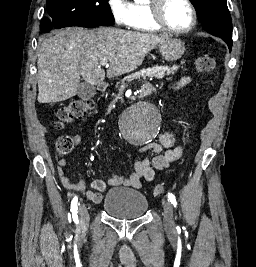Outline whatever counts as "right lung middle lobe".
<instances>
[{"instance_id":"obj_1","label":"right lung middle lobe","mask_w":256,"mask_h":267,"mask_svg":"<svg viewBox=\"0 0 256 267\" xmlns=\"http://www.w3.org/2000/svg\"><path fill=\"white\" fill-rule=\"evenodd\" d=\"M46 17L41 31L68 26L113 25L114 17L108 0H47Z\"/></svg>"}]
</instances>
